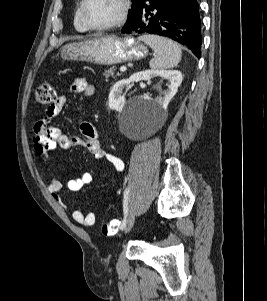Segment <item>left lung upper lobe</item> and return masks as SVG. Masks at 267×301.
I'll return each instance as SVG.
<instances>
[{
	"mask_svg": "<svg viewBox=\"0 0 267 301\" xmlns=\"http://www.w3.org/2000/svg\"><path fill=\"white\" fill-rule=\"evenodd\" d=\"M131 1H132V7L128 12L129 23L135 20V17L137 16L138 12L140 11L141 7L145 2V0H131Z\"/></svg>",
	"mask_w": 267,
	"mask_h": 301,
	"instance_id": "left-lung-upper-lobe-1",
	"label": "left lung upper lobe"
}]
</instances>
